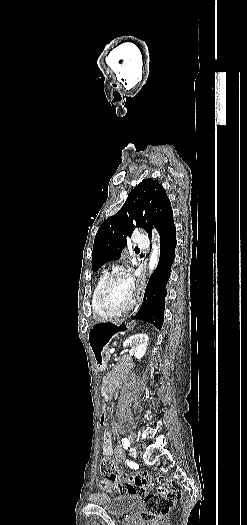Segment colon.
<instances>
[{
    "label": "colon",
    "instance_id": "1",
    "mask_svg": "<svg viewBox=\"0 0 247 525\" xmlns=\"http://www.w3.org/2000/svg\"><path fill=\"white\" fill-rule=\"evenodd\" d=\"M106 408V405H103ZM101 429L107 428L106 414L99 415ZM100 472L108 482L118 483L116 493L120 495H139L143 499L140 517L143 522H158L169 513L172 503L184 495L181 484L175 480L160 478L154 481L147 472L131 473L122 476L114 463L104 458L100 463Z\"/></svg>",
    "mask_w": 247,
    "mask_h": 525
}]
</instances>
